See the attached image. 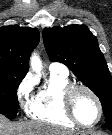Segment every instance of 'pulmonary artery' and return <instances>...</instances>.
<instances>
[{
  "label": "pulmonary artery",
  "instance_id": "e3ab8cb5",
  "mask_svg": "<svg viewBox=\"0 0 112 135\" xmlns=\"http://www.w3.org/2000/svg\"><path fill=\"white\" fill-rule=\"evenodd\" d=\"M49 70L50 72H56V73L68 75V69L66 68V66L59 63L50 64Z\"/></svg>",
  "mask_w": 112,
  "mask_h": 135
}]
</instances>
